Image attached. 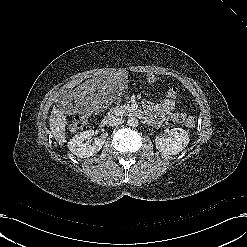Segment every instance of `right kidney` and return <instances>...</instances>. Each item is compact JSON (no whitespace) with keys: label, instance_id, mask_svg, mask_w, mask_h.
<instances>
[{"label":"right kidney","instance_id":"1","mask_svg":"<svg viewBox=\"0 0 247 247\" xmlns=\"http://www.w3.org/2000/svg\"><path fill=\"white\" fill-rule=\"evenodd\" d=\"M94 135V130H85L76 134L70 141L68 142L69 150L80 158H88L94 156L98 153L104 141L102 139H96L93 144L89 143V139Z\"/></svg>","mask_w":247,"mask_h":247}]
</instances>
